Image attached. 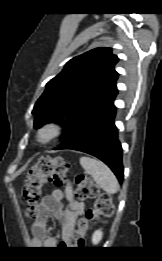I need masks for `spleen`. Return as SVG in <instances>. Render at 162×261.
I'll list each match as a JSON object with an SVG mask.
<instances>
[{"instance_id": "3e777b00", "label": "spleen", "mask_w": 162, "mask_h": 261, "mask_svg": "<svg viewBox=\"0 0 162 261\" xmlns=\"http://www.w3.org/2000/svg\"><path fill=\"white\" fill-rule=\"evenodd\" d=\"M80 165L93 177L94 181L104 191L109 194H114L118 191L119 184L115 175L103 162L94 158L82 156L80 158Z\"/></svg>"}]
</instances>
